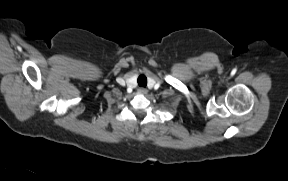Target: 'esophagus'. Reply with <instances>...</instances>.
<instances>
[{
    "mask_svg": "<svg viewBox=\"0 0 288 181\" xmlns=\"http://www.w3.org/2000/svg\"><path fill=\"white\" fill-rule=\"evenodd\" d=\"M139 91L143 94L146 93V90L144 88H141Z\"/></svg>",
    "mask_w": 288,
    "mask_h": 181,
    "instance_id": "34e87169",
    "label": "esophagus"
}]
</instances>
